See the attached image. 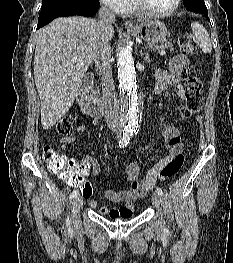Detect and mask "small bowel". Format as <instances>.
I'll list each match as a JSON object with an SVG mask.
<instances>
[{
    "label": "small bowel",
    "instance_id": "obj_1",
    "mask_svg": "<svg viewBox=\"0 0 233 263\" xmlns=\"http://www.w3.org/2000/svg\"><path fill=\"white\" fill-rule=\"evenodd\" d=\"M188 64V58L185 54H178L174 56L169 62V71L162 69H157L155 72L156 84L154 87L155 94H160L166 91L169 87L174 86L176 90V95L180 100L185 99V89L182 83V73ZM97 124V121L92 119L86 123H82L76 126L75 132L78 134L84 133L90 127ZM163 138L165 141V147L167 150V155L161 159L146 175L143 180H139V166L135 162H127L125 164V175L127 181L130 183V187L127 190H114V189H104V196L113 203L123 204L120 207L109 208L107 206L101 205L96 200H90V207L96 209L100 214L106 215L111 219H128L133 215L134 203L144 197L149 190L152 189L156 183V179L153 178L154 172L160 167L164 166L175 156L181 154L183 150L181 137L179 131L168 126L163 130ZM76 137L73 134L66 135L61 138L59 143V151L64 152L68 148V144L74 143ZM76 163L75 171H91L93 175L99 172V165L97 161L91 157H85L80 161L74 160ZM69 182V180H68ZM82 184V183H70ZM91 191V190H90ZM85 198H89L90 195H83Z\"/></svg>",
    "mask_w": 233,
    "mask_h": 263
}]
</instances>
